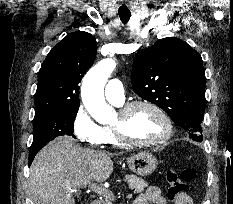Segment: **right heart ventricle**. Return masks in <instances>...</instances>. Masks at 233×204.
Wrapping results in <instances>:
<instances>
[{
    "label": "right heart ventricle",
    "instance_id": "obj_1",
    "mask_svg": "<svg viewBox=\"0 0 233 204\" xmlns=\"http://www.w3.org/2000/svg\"><path fill=\"white\" fill-rule=\"evenodd\" d=\"M115 105H120V104H115ZM102 130L104 134V143L111 145H120L119 141L115 137L113 130L110 126H104L102 127Z\"/></svg>",
    "mask_w": 233,
    "mask_h": 204
}]
</instances>
